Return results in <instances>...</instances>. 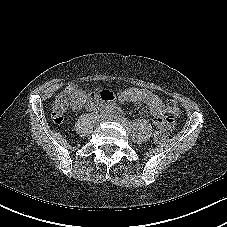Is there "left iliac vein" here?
<instances>
[{
    "instance_id": "1",
    "label": "left iliac vein",
    "mask_w": 227,
    "mask_h": 227,
    "mask_svg": "<svg viewBox=\"0 0 227 227\" xmlns=\"http://www.w3.org/2000/svg\"><path fill=\"white\" fill-rule=\"evenodd\" d=\"M114 120H116L117 122L121 123L127 129V131L130 132V129L127 127V125L120 118H116Z\"/></svg>"
}]
</instances>
